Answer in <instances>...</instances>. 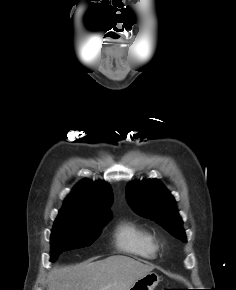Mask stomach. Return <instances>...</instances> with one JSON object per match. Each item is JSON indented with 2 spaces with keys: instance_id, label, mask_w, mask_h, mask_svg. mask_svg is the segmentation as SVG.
Masks as SVG:
<instances>
[{
  "instance_id": "0dacf381",
  "label": "stomach",
  "mask_w": 236,
  "mask_h": 290,
  "mask_svg": "<svg viewBox=\"0 0 236 290\" xmlns=\"http://www.w3.org/2000/svg\"><path fill=\"white\" fill-rule=\"evenodd\" d=\"M160 277L155 272H149L143 277L137 279L129 290H154L158 285Z\"/></svg>"
}]
</instances>
